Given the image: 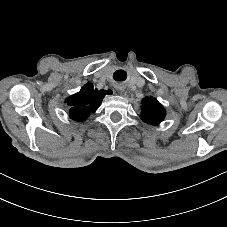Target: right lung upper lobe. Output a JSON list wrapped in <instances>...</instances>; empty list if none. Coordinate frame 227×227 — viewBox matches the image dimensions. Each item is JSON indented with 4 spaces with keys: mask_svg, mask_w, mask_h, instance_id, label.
Returning <instances> with one entry per match:
<instances>
[{
    "mask_svg": "<svg viewBox=\"0 0 227 227\" xmlns=\"http://www.w3.org/2000/svg\"><path fill=\"white\" fill-rule=\"evenodd\" d=\"M108 91L94 89L91 83L84 85L81 90L70 96L66 103L70 107V118L75 121H84L101 104Z\"/></svg>",
    "mask_w": 227,
    "mask_h": 227,
    "instance_id": "1",
    "label": "right lung upper lobe"
}]
</instances>
